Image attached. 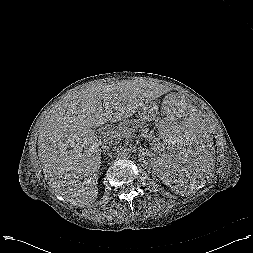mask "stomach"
<instances>
[{"instance_id": "0dacf381", "label": "stomach", "mask_w": 253, "mask_h": 253, "mask_svg": "<svg viewBox=\"0 0 253 253\" xmlns=\"http://www.w3.org/2000/svg\"><path fill=\"white\" fill-rule=\"evenodd\" d=\"M152 110H154V105L153 104L141 108L139 110L140 118L143 119V120H151V119H153L154 113H153Z\"/></svg>"}]
</instances>
